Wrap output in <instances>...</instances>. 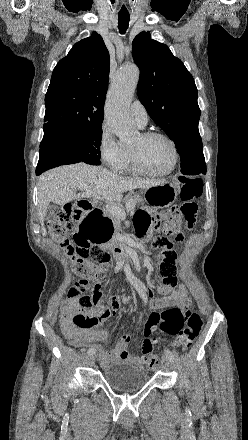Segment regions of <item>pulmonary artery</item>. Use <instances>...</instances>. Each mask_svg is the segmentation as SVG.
<instances>
[{
	"label": "pulmonary artery",
	"instance_id": "pulmonary-artery-1",
	"mask_svg": "<svg viewBox=\"0 0 248 440\" xmlns=\"http://www.w3.org/2000/svg\"><path fill=\"white\" fill-rule=\"evenodd\" d=\"M130 113L135 121V123L143 128L148 123V113L143 104L135 100L130 106Z\"/></svg>",
	"mask_w": 248,
	"mask_h": 440
}]
</instances>
